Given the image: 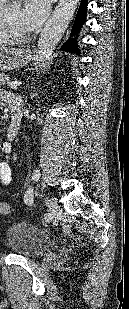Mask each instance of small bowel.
<instances>
[{
    "label": "small bowel",
    "instance_id": "1",
    "mask_svg": "<svg viewBox=\"0 0 129 309\" xmlns=\"http://www.w3.org/2000/svg\"><path fill=\"white\" fill-rule=\"evenodd\" d=\"M1 150L5 153H9L11 147L8 143L1 145ZM11 181V169L5 162H0V183L3 185L9 184Z\"/></svg>",
    "mask_w": 129,
    "mask_h": 309
}]
</instances>
